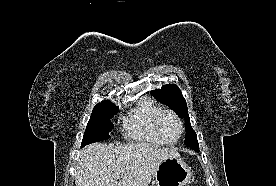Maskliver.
I'll list each match as a JSON object with an SVG mask.
<instances>
[{
  "label": "liver",
  "mask_w": 276,
  "mask_h": 186,
  "mask_svg": "<svg viewBox=\"0 0 276 186\" xmlns=\"http://www.w3.org/2000/svg\"><path fill=\"white\" fill-rule=\"evenodd\" d=\"M170 156H179V153L175 149H161L145 143L126 145L93 143L80 152L75 184L76 186H148L158 166Z\"/></svg>",
  "instance_id": "obj_1"
}]
</instances>
